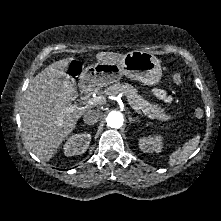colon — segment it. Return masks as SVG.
Listing matches in <instances>:
<instances>
[{
	"label": "colon",
	"mask_w": 221,
	"mask_h": 221,
	"mask_svg": "<svg viewBox=\"0 0 221 221\" xmlns=\"http://www.w3.org/2000/svg\"><path fill=\"white\" fill-rule=\"evenodd\" d=\"M70 72H71V74H72L73 76L78 75L79 72H80V66H78L77 64H74V65L72 66V68L70 69ZM172 79H173V82H174L175 84H181V82H182V77H181V75H179V74H174L173 77H172ZM203 115H204V111H203L202 108H196V109L194 110V116H195L197 119L202 118Z\"/></svg>",
	"instance_id": "5ec220e1"
}]
</instances>
